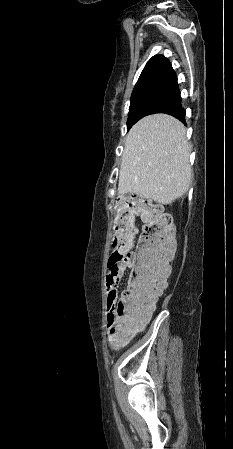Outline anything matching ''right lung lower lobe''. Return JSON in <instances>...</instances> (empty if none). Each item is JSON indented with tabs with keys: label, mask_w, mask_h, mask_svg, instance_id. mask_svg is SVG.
I'll use <instances>...</instances> for the list:
<instances>
[{
	"label": "right lung lower lobe",
	"mask_w": 233,
	"mask_h": 449,
	"mask_svg": "<svg viewBox=\"0 0 233 449\" xmlns=\"http://www.w3.org/2000/svg\"><path fill=\"white\" fill-rule=\"evenodd\" d=\"M158 113H165L172 115L173 117L185 123V110L181 106V101L159 111Z\"/></svg>",
	"instance_id": "98d812e1"
}]
</instances>
